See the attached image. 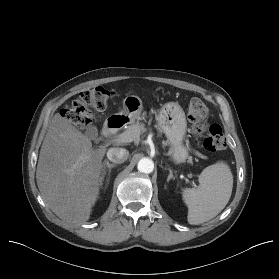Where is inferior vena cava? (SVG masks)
I'll return each instance as SVG.
<instances>
[{"instance_id": "inferior-vena-cava-1", "label": "inferior vena cava", "mask_w": 279, "mask_h": 279, "mask_svg": "<svg viewBox=\"0 0 279 279\" xmlns=\"http://www.w3.org/2000/svg\"><path fill=\"white\" fill-rule=\"evenodd\" d=\"M108 159L116 164L123 163L129 157V152L124 148H110L107 152Z\"/></svg>"}]
</instances>
